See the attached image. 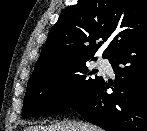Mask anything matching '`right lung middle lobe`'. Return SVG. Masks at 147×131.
I'll return each instance as SVG.
<instances>
[{
	"label": "right lung middle lobe",
	"instance_id": "obj_1",
	"mask_svg": "<svg viewBox=\"0 0 147 131\" xmlns=\"http://www.w3.org/2000/svg\"><path fill=\"white\" fill-rule=\"evenodd\" d=\"M96 60V59H94ZM88 60L51 69L30 77L22 115L58 112L81 101L102 78H88ZM96 71L90 72L94 74Z\"/></svg>",
	"mask_w": 147,
	"mask_h": 131
}]
</instances>
